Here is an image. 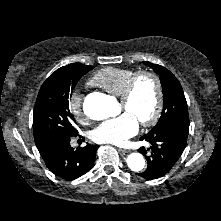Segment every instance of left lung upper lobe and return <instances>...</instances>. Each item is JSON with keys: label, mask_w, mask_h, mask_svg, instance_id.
I'll return each mask as SVG.
<instances>
[{"label": "left lung upper lobe", "mask_w": 221, "mask_h": 221, "mask_svg": "<svg viewBox=\"0 0 221 221\" xmlns=\"http://www.w3.org/2000/svg\"><path fill=\"white\" fill-rule=\"evenodd\" d=\"M144 64L160 75L164 98L161 117L151 131L166 127L178 120H189L184 92L176 77L163 66L150 62H144Z\"/></svg>", "instance_id": "5c2ea615"}]
</instances>
